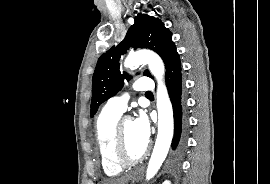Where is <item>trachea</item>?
Wrapping results in <instances>:
<instances>
[{
    "label": "trachea",
    "mask_w": 270,
    "mask_h": 184,
    "mask_svg": "<svg viewBox=\"0 0 270 184\" xmlns=\"http://www.w3.org/2000/svg\"><path fill=\"white\" fill-rule=\"evenodd\" d=\"M146 95H152V93L151 92H147Z\"/></svg>",
    "instance_id": "trachea-1"
}]
</instances>
